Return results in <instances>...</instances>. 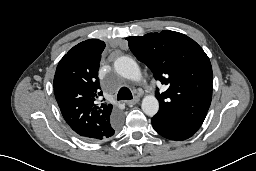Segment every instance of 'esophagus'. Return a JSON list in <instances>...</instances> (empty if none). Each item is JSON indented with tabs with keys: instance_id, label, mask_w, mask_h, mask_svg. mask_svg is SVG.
<instances>
[{
	"instance_id": "1",
	"label": "esophagus",
	"mask_w": 256,
	"mask_h": 171,
	"mask_svg": "<svg viewBox=\"0 0 256 171\" xmlns=\"http://www.w3.org/2000/svg\"><path fill=\"white\" fill-rule=\"evenodd\" d=\"M139 101H140V98L135 97L133 100L126 101V104L129 106H133V105L137 104Z\"/></svg>"
}]
</instances>
